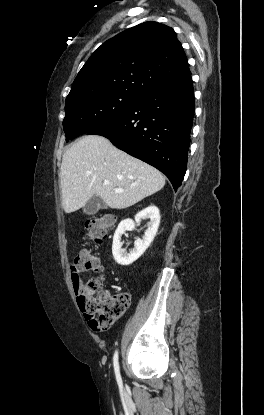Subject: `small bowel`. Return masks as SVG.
Listing matches in <instances>:
<instances>
[{
	"mask_svg": "<svg viewBox=\"0 0 264 415\" xmlns=\"http://www.w3.org/2000/svg\"><path fill=\"white\" fill-rule=\"evenodd\" d=\"M103 269H104L103 265L100 262H98L97 270L101 271ZM82 272H83L82 270H79L77 272H72L71 271V281H72V284H73V288L76 291L80 290V287H81V284H82L81 283V278H80V274ZM96 330L100 331V329H96Z\"/></svg>",
	"mask_w": 264,
	"mask_h": 415,
	"instance_id": "obj_1",
	"label": "small bowel"
}]
</instances>
